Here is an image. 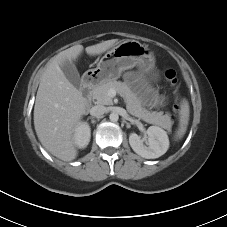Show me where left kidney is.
I'll return each instance as SVG.
<instances>
[{"label": "left kidney", "mask_w": 227, "mask_h": 227, "mask_svg": "<svg viewBox=\"0 0 227 227\" xmlns=\"http://www.w3.org/2000/svg\"><path fill=\"white\" fill-rule=\"evenodd\" d=\"M147 135V146L136 133L129 135V143L134 152L146 159H155L165 154L169 148L167 132L160 127L150 126Z\"/></svg>", "instance_id": "left-kidney-1"}]
</instances>
